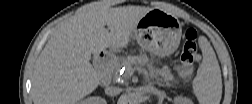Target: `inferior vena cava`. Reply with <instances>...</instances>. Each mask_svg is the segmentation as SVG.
<instances>
[{
    "label": "inferior vena cava",
    "instance_id": "1",
    "mask_svg": "<svg viewBox=\"0 0 252 104\" xmlns=\"http://www.w3.org/2000/svg\"><path fill=\"white\" fill-rule=\"evenodd\" d=\"M121 92V88L115 86H106L105 94L108 96H116Z\"/></svg>",
    "mask_w": 252,
    "mask_h": 104
}]
</instances>
